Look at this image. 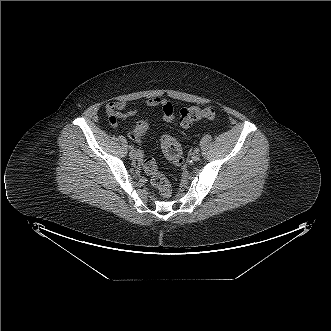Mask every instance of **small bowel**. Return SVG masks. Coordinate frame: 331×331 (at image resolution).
Returning <instances> with one entry per match:
<instances>
[{
  "label": "small bowel",
  "instance_id": "small-bowel-1",
  "mask_svg": "<svg viewBox=\"0 0 331 331\" xmlns=\"http://www.w3.org/2000/svg\"><path fill=\"white\" fill-rule=\"evenodd\" d=\"M145 104L149 107H160L163 113V120L166 123L182 126L177 118V108L170 101L160 97H153L147 99ZM105 111L108 116L109 123L113 127L117 125L119 120L133 117L137 113L136 108H128L127 104L123 101H113L107 103L105 106ZM129 137L136 142H142V136L136 134L135 131L130 132Z\"/></svg>",
  "mask_w": 331,
  "mask_h": 331
}]
</instances>
